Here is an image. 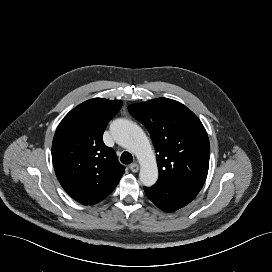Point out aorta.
<instances>
[{
  "instance_id": "762f6f07",
  "label": "aorta",
  "mask_w": 272,
  "mask_h": 272,
  "mask_svg": "<svg viewBox=\"0 0 272 272\" xmlns=\"http://www.w3.org/2000/svg\"><path fill=\"white\" fill-rule=\"evenodd\" d=\"M116 142L132 151L140 163L139 179L144 186L154 185L158 179V167L154 152L144 131L137 124L117 119L111 125Z\"/></svg>"
}]
</instances>
